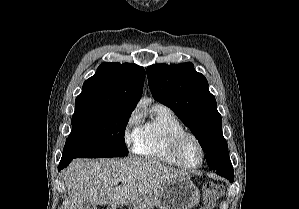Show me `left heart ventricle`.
<instances>
[{"instance_id": "b2bd125f", "label": "left heart ventricle", "mask_w": 299, "mask_h": 209, "mask_svg": "<svg viewBox=\"0 0 299 209\" xmlns=\"http://www.w3.org/2000/svg\"><path fill=\"white\" fill-rule=\"evenodd\" d=\"M182 160L189 166H197L201 161V150L193 139H187L182 148Z\"/></svg>"}]
</instances>
